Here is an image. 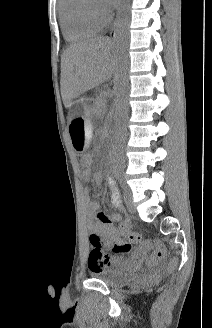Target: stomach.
I'll return each instance as SVG.
<instances>
[{
    "label": "stomach",
    "mask_w": 212,
    "mask_h": 328,
    "mask_svg": "<svg viewBox=\"0 0 212 328\" xmlns=\"http://www.w3.org/2000/svg\"><path fill=\"white\" fill-rule=\"evenodd\" d=\"M83 100L75 98L66 102L65 106V127L69 128L71 142L77 152L84 151L90 141L91 102Z\"/></svg>",
    "instance_id": "0dacf381"
}]
</instances>
